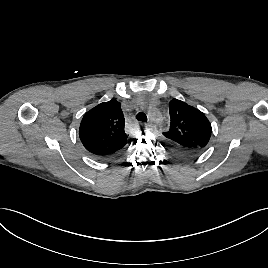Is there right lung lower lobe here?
Wrapping results in <instances>:
<instances>
[{
	"label": "right lung lower lobe",
	"mask_w": 268,
	"mask_h": 268,
	"mask_svg": "<svg viewBox=\"0 0 268 268\" xmlns=\"http://www.w3.org/2000/svg\"><path fill=\"white\" fill-rule=\"evenodd\" d=\"M100 158H109V157H100Z\"/></svg>",
	"instance_id": "right-lung-lower-lobe-1"
}]
</instances>
